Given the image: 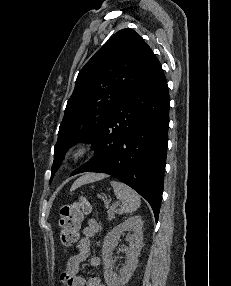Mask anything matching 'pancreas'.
Segmentation results:
<instances>
[{
  "label": "pancreas",
  "instance_id": "1",
  "mask_svg": "<svg viewBox=\"0 0 231 286\" xmlns=\"http://www.w3.org/2000/svg\"><path fill=\"white\" fill-rule=\"evenodd\" d=\"M116 213H119V210L115 209V207H110V208L107 210L108 220L114 219Z\"/></svg>",
  "mask_w": 231,
  "mask_h": 286
}]
</instances>
